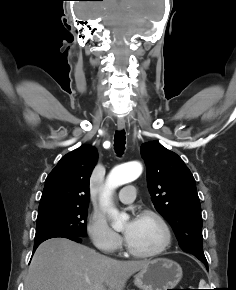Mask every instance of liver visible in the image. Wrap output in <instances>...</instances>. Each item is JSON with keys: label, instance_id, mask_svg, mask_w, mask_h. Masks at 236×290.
Here are the masks:
<instances>
[{"label": "liver", "instance_id": "liver-1", "mask_svg": "<svg viewBox=\"0 0 236 290\" xmlns=\"http://www.w3.org/2000/svg\"><path fill=\"white\" fill-rule=\"evenodd\" d=\"M149 261H119L66 238L37 248L25 290H123L127 280ZM108 288V289H107Z\"/></svg>", "mask_w": 236, "mask_h": 290}]
</instances>
